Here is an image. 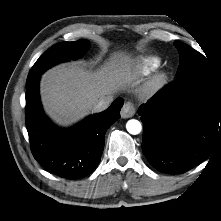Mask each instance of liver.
<instances>
[{"instance_id": "liver-1", "label": "liver", "mask_w": 221, "mask_h": 221, "mask_svg": "<svg viewBox=\"0 0 221 221\" xmlns=\"http://www.w3.org/2000/svg\"><path fill=\"white\" fill-rule=\"evenodd\" d=\"M135 79L133 62L123 53L115 54L94 72L76 62L61 64L42 76L41 100L56 123L68 126L93 112L101 98L112 97Z\"/></svg>"}]
</instances>
